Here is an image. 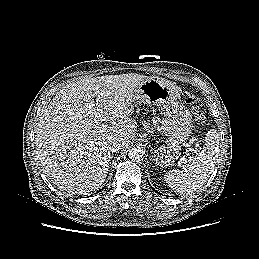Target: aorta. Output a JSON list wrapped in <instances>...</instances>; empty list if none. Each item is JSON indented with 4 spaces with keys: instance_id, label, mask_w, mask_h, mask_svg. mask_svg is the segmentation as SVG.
<instances>
[{
    "instance_id": "762f6f07",
    "label": "aorta",
    "mask_w": 259,
    "mask_h": 259,
    "mask_svg": "<svg viewBox=\"0 0 259 259\" xmlns=\"http://www.w3.org/2000/svg\"><path fill=\"white\" fill-rule=\"evenodd\" d=\"M144 151L140 148H132L129 151V158L134 162H140L143 160Z\"/></svg>"
}]
</instances>
